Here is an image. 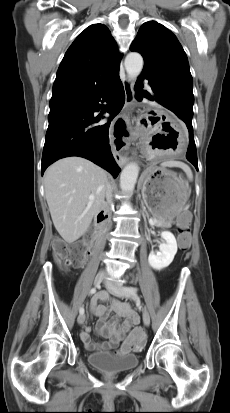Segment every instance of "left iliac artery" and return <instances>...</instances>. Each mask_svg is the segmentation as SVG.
Segmentation results:
<instances>
[{
	"label": "left iliac artery",
	"instance_id": "44dca946",
	"mask_svg": "<svg viewBox=\"0 0 230 413\" xmlns=\"http://www.w3.org/2000/svg\"><path fill=\"white\" fill-rule=\"evenodd\" d=\"M123 289L125 292L133 294V295H135L138 290L136 287H124Z\"/></svg>",
	"mask_w": 230,
	"mask_h": 413
}]
</instances>
